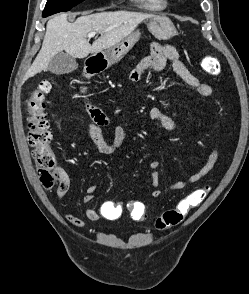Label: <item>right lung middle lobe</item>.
Wrapping results in <instances>:
<instances>
[{
  "mask_svg": "<svg viewBox=\"0 0 249 294\" xmlns=\"http://www.w3.org/2000/svg\"><path fill=\"white\" fill-rule=\"evenodd\" d=\"M82 1L84 0H48L42 15L47 17L58 12L69 11Z\"/></svg>",
  "mask_w": 249,
  "mask_h": 294,
  "instance_id": "right-lung-middle-lobe-1",
  "label": "right lung middle lobe"
}]
</instances>
